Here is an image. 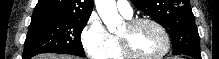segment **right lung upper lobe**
Returning <instances> with one entry per match:
<instances>
[{
  "instance_id": "1",
  "label": "right lung upper lobe",
  "mask_w": 219,
  "mask_h": 59,
  "mask_svg": "<svg viewBox=\"0 0 219 59\" xmlns=\"http://www.w3.org/2000/svg\"><path fill=\"white\" fill-rule=\"evenodd\" d=\"M93 0H39L33 15L90 17Z\"/></svg>"
}]
</instances>
